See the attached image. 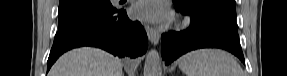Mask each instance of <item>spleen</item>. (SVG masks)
Here are the masks:
<instances>
[{
	"instance_id": "spleen-1",
	"label": "spleen",
	"mask_w": 287,
	"mask_h": 76,
	"mask_svg": "<svg viewBox=\"0 0 287 76\" xmlns=\"http://www.w3.org/2000/svg\"><path fill=\"white\" fill-rule=\"evenodd\" d=\"M179 68L186 76H243V70L229 53L200 49L183 55Z\"/></svg>"
}]
</instances>
